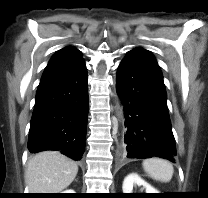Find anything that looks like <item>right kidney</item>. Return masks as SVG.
<instances>
[{
    "instance_id": "1",
    "label": "right kidney",
    "mask_w": 208,
    "mask_h": 198,
    "mask_svg": "<svg viewBox=\"0 0 208 198\" xmlns=\"http://www.w3.org/2000/svg\"><path fill=\"white\" fill-rule=\"evenodd\" d=\"M63 193H75V191H73V189H67L66 191H63Z\"/></svg>"
}]
</instances>
